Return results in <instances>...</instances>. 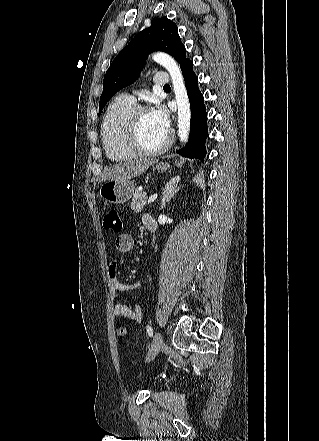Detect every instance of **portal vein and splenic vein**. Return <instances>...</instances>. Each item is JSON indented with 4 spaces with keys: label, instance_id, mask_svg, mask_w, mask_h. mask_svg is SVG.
I'll list each match as a JSON object with an SVG mask.
<instances>
[{
    "label": "portal vein and splenic vein",
    "instance_id": "18ae733b",
    "mask_svg": "<svg viewBox=\"0 0 319 441\" xmlns=\"http://www.w3.org/2000/svg\"><path fill=\"white\" fill-rule=\"evenodd\" d=\"M158 197V194H154L152 196H150V198L148 199V203L154 202Z\"/></svg>",
    "mask_w": 319,
    "mask_h": 441
}]
</instances>
